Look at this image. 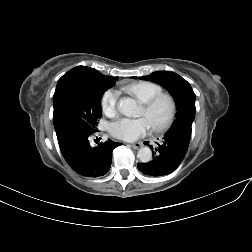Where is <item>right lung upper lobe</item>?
<instances>
[{
    "instance_id": "1",
    "label": "right lung upper lobe",
    "mask_w": 252,
    "mask_h": 252,
    "mask_svg": "<svg viewBox=\"0 0 252 252\" xmlns=\"http://www.w3.org/2000/svg\"><path fill=\"white\" fill-rule=\"evenodd\" d=\"M100 80L111 86H113L117 80V77L105 76L98 72L96 69L86 67V66H77L65 73L59 80L58 85L74 81V80Z\"/></svg>"
}]
</instances>
